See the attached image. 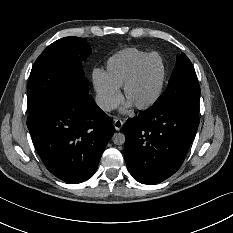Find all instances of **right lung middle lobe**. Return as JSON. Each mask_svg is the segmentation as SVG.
<instances>
[{
  "label": "right lung middle lobe",
  "mask_w": 233,
  "mask_h": 233,
  "mask_svg": "<svg viewBox=\"0 0 233 233\" xmlns=\"http://www.w3.org/2000/svg\"><path fill=\"white\" fill-rule=\"evenodd\" d=\"M90 53L89 43L77 37L59 39L41 53L30 74L29 115L52 104L72 86L89 90L81 63Z\"/></svg>",
  "instance_id": "right-lung-middle-lobe-1"
}]
</instances>
